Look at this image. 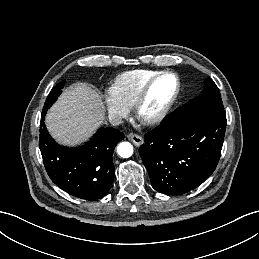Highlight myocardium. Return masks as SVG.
I'll list each match as a JSON object with an SVG mask.
<instances>
[{
	"instance_id": "f54148a6",
	"label": "myocardium",
	"mask_w": 259,
	"mask_h": 259,
	"mask_svg": "<svg viewBox=\"0 0 259 259\" xmlns=\"http://www.w3.org/2000/svg\"><path fill=\"white\" fill-rule=\"evenodd\" d=\"M166 76H172L175 79L176 87L173 96L171 99L167 102V104L154 116L144 119L141 117L140 112L144 105V102L148 96V93L154 83L158 81L159 79L166 77ZM181 90V82L178 77V75L173 71H161L158 72L156 75H154L152 78H150L145 85L140 90L138 96L135 99V102L133 104V114L136 120L141 122L144 125L151 126L160 123L165 119V117L168 115L174 104L176 103L179 93Z\"/></svg>"
}]
</instances>
